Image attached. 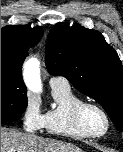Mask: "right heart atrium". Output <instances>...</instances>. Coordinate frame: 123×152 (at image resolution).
<instances>
[{
  "label": "right heart atrium",
  "mask_w": 123,
  "mask_h": 152,
  "mask_svg": "<svg viewBox=\"0 0 123 152\" xmlns=\"http://www.w3.org/2000/svg\"><path fill=\"white\" fill-rule=\"evenodd\" d=\"M23 127L30 132L43 128L44 117L40 109L39 101L34 97H28L22 110Z\"/></svg>",
  "instance_id": "1"
}]
</instances>
